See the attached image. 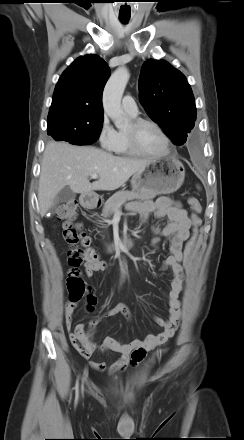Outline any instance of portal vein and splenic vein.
I'll return each mask as SVG.
<instances>
[{"label": "portal vein and splenic vein", "mask_w": 244, "mask_h": 440, "mask_svg": "<svg viewBox=\"0 0 244 440\" xmlns=\"http://www.w3.org/2000/svg\"><path fill=\"white\" fill-rule=\"evenodd\" d=\"M91 178H92V179H97V178H98V174H92V175H91ZM119 208H120V207H118L117 210H119Z\"/></svg>", "instance_id": "18ae733b"}]
</instances>
